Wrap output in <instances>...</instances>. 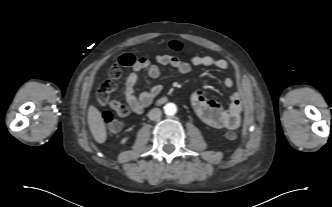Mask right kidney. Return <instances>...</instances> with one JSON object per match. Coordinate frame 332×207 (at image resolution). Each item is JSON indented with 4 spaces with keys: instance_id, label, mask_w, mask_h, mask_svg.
<instances>
[{
    "instance_id": "1",
    "label": "right kidney",
    "mask_w": 332,
    "mask_h": 207,
    "mask_svg": "<svg viewBox=\"0 0 332 207\" xmlns=\"http://www.w3.org/2000/svg\"><path fill=\"white\" fill-rule=\"evenodd\" d=\"M127 139H128V138H124V139H122L121 143H122V144L126 143Z\"/></svg>"
}]
</instances>
